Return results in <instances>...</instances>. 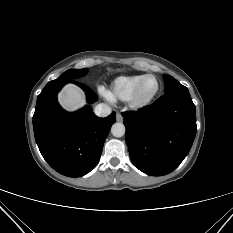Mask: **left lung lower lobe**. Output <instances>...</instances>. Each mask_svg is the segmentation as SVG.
I'll return each instance as SVG.
<instances>
[{
    "label": "left lung lower lobe",
    "mask_w": 233,
    "mask_h": 233,
    "mask_svg": "<svg viewBox=\"0 0 233 233\" xmlns=\"http://www.w3.org/2000/svg\"><path fill=\"white\" fill-rule=\"evenodd\" d=\"M122 116L130 158L140 171L166 175L189 153L197 127L187 88L167 92L151 106Z\"/></svg>",
    "instance_id": "obj_1"
}]
</instances>
